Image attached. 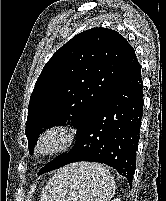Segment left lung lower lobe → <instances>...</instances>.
Instances as JSON below:
<instances>
[{
  "label": "left lung lower lobe",
  "mask_w": 166,
  "mask_h": 201,
  "mask_svg": "<svg viewBox=\"0 0 166 201\" xmlns=\"http://www.w3.org/2000/svg\"><path fill=\"white\" fill-rule=\"evenodd\" d=\"M141 67L137 58L76 133L67 154L45 165L38 175L78 161L107 164L132 186L143 115Z\"/></svg>",
  "instance_id": "left-lung-lower-lobe-1"
}]
</instances>
